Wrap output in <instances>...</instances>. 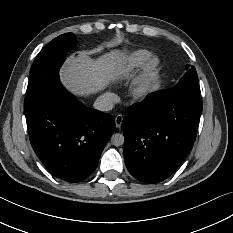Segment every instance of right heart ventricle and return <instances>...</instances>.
<instances>
[{
    "instance_id": "e07e8e85",
    "label": "right heart ventricle",
    "mask_w": 233,
    "mask_h": 233,
    "mask_svg": "<svg viewBox=\"0 0 233 233\" xmlns=\"http://www.w3.org/2000/svg\"><path fill=\"white\" fill-rule=\"evenodd\" d=\"M151 57L152 53L145 49L129 53L120 65V74L125 78L135 75L145 67Z\"/></svg>"
}]
</instances>
